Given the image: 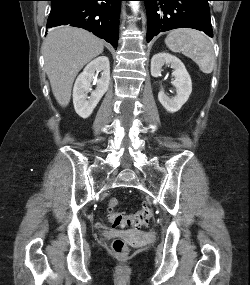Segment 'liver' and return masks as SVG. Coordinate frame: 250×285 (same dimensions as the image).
Listing matches in <instances>:
<instances>
[{
  "label": "liver",
  "mask_w": 250,
  "mask_h": 285,
  "mask_svg": "<svg viewBox=\"0 0 250 285\" xmlns=\"http://www.w3.org/2000/svg\"><path fill=\"white\" fill-rule=\"evenodd\" d=\"M104 49V42L83 29L61 26L51 30L43 45L45 70L57 102L69 104L78 72Z\"/></svg>",
  "instance_id": "1"
}]
</instances>
